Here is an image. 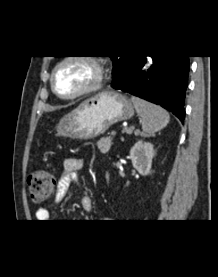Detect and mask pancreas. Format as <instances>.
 <instances>
[{
  "label": "pancreas",
  "mask_w": 218,
  "mask_h": 277,
  "mask_svg": "<svg viewBox=\"0 0 218 277\" xmlns=\"http://www.w3.org/2000/svg\"><path fill=\"white\" fill-rule=\"evenodd\" d=\"M111 145H112L111 137L101 138L97 142V147L102 154H106L110 150Z\"/></svg>",
  "instance_id": "cf45deb5"
}]
</instances>
